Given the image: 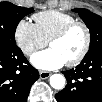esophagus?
Here are the masks:
<instances>
[{
  "label": "esophagus",
  "instance_id": "obj_1",
  "mask_svg": "<svg viewBox=\"0 0 102 102\" xmlns=\"http://www.w3.org/2000/svg\"><path fill=\"white\" fill-rule=\"evenodd\" d=\"M39 75L41 79H47L51 76V73L47 71H40Z\"/></svg>",
  "mask_w": 102,
  "mask_h": 102
}]
</instances>
